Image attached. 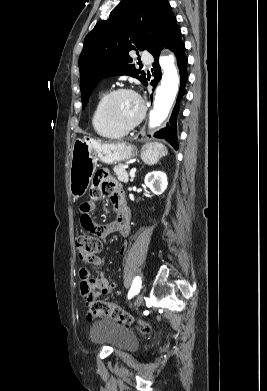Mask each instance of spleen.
Wrapping results in <instances>:
<instances>
[{
  "instance_id": "spleen-1",
  "label": "spleen",
  "mask_w": 267,
  "mask_h": 391,
  "mask_svg": "<svg viewBox=\"0 0 267 391\" xmlns=\"http://www.w3.org/2000/svg\"><path fill=\"white\" fill-rule=\"evenodd\" d=\"M167 154L168 150L163 144L158 142H151L143 146L141 158L145 164L154 165Z\"/></svg>"
}]
</instances>
